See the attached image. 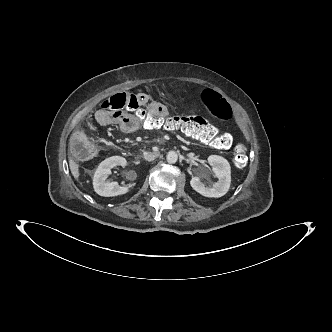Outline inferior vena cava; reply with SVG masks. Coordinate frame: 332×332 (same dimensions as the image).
<instances>
[{"label":"inferior vena cava","mask_w":332,"mask_h":332,"mask_svg":"<svg viewBox=\"0 0 332 332\" xmlns=\"http://www.w3.org/2000/svg\"><path fill=\"white\" fill-rule=\"evenodd\" d=\"M158 152H149L145 155V160L146 161H153L157 158Z\"/></svg>","instance_id":"1"}]
</instances>
